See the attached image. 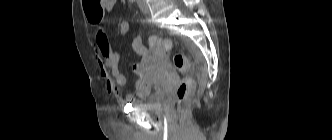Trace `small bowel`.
Listing matches in <instances>:
<instances>
[{
    "instance_id": "obj_1",
    "label": "small bowel",
    "mask_w": 332,
    "mask_h": 140,
    "mask_svg": "<svg viewBox=\"0 0 332 140\" xmlns=\"http://www.w3.org/2000/svg\"><path fill=\"white\" fill-rule=\"evenodd\" d=\"M116 3L117 0H104L103 12L110 13L114 9ZM88 20L92 24L99 23V21H93L89 18ZM131 47L137 55L143 56L147 53V48L144 45L141 36L134 37ZM95 58L101 76L106 82L107 91L118 95V87L125 86L127 84V79L118 66L120 55L118 51L111 46L109 37L102 28H98L95 35ZM133 70L137 76L135 94L138 97L143 98L151 91V85L140 64H135ZM133 99L134 96L131 94L127 95L125 98L127 102H131Z\"/></svg>"
}]
</instances>
